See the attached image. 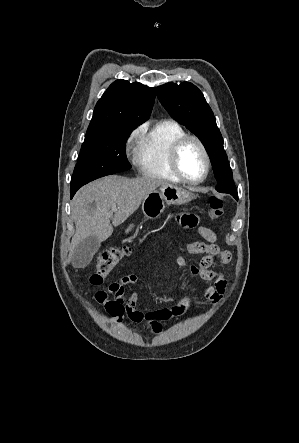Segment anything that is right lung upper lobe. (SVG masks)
Wrapping results in <instances>:
<instances>
[{
	"mask_svg": "<svg viewBox=\"0 0 299 443\" xmlns=\"http://www.w3.org/2000/svg\"><path fill=\"white\" fill-rule=\"evenodd\" d=\"M154 100V88L116 80L97 102L86 134L115 127H136L149 118Z\"/></svg>",
	"mask_w": 299,
	"mask_h": 443,
	"instance_id": "right-lung-upper-lobe-1",
	"label": "right lung upper lobe"
}]
</instances>
